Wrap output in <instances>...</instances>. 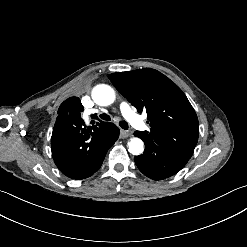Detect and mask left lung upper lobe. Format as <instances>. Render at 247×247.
Listing matches in <instances>:
<instances>
[{"instance_id":"left-lung-upper-lobe-1","label":"left lung upper lobe","mask_w":247,"mask_h":247,"mask_svg":"<svg viewBox=\"0 0 247 247\" xmlns=\"http://www.w3.org/2000/svg\"><path fill=\"white\" fill-rule=\"evenodd\" d=\"M116 89L141 113L146 110L156 144L191 158L198 141V118L182 90L157 70L144 68L108 76Z\"/></svg>"}]
</instances>
